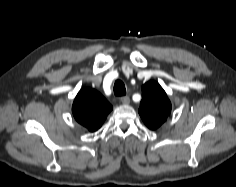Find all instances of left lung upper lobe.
Listing matches in <instances>:
<instances>
[{
    "instance_id": "1",
    "label": "left lung upper lobe",
    "mask_w": 236,
    "mask_h": 187,
    "mask_svg": "<svg viewBox=\"0 0 236 187\" xmlns=\"http://www.w3.org/2000/svg\"><path fill=\"white\" fill-rule=\"evenodd\" d=\"M171 112V103L166 92L154 81H149L142 86V100L140 102L139 114L152 130L160 127Z\"/></svg>"
}]
</instances>
